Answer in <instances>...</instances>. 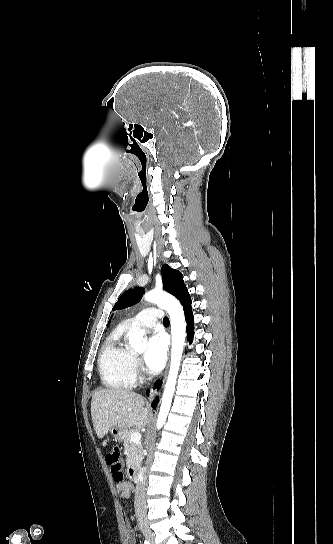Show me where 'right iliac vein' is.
Returning a JSON list of instances; mask_svg holds the SVG:
<instances>
[{
    "mask_svg": "<svg viewBox=\"0 0 333 544\" xmlns=\"http://www.w3.org/2000/svg\"><path fill=\"white\" fill-rule=\"evenodd\" d=\"M140 528H141V531L144 535V537L148 540V542H150L151 544H153L154 542V534L152 533V531L149 529V527L147 526L146 523H140Z\"/></svg>",
    "mask_w": 333,
    "mask_h": 544,
    "instance_id": "right-iliac-vein-1",
    "label": "right iliac vein"
}]
</instances>
